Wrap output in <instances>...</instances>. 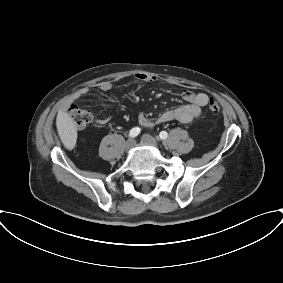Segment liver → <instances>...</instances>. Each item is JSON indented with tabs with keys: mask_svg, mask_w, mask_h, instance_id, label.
<instances>
[{
	"mask_svg": "<svg viewBox=\"0 0 283 283\" xmlns=\"http://www.w3.org/2000/svg\"><path fill=\"white\" fill-rule=\"evenodd\" d=\"M57 131L64 146L71 150L76 145L77 130L71 117L59 110L56 118Z\"/></svg>",
	"mask_w": 283,
	"mask_h": 283,
	"instance_id": "obj_1",
	"label": "liver"
}]
</instances>
